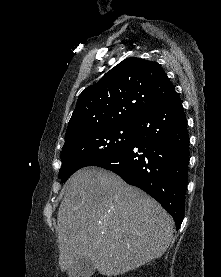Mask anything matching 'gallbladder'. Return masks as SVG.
<instances>
[{
    "mask_svg": "<svg viewBox=\"0 0 221 277\" xmlns=\"http://www.w3.org/2000/svg\"><path fill=\"white\" fill-rule=\"evenodd\" d=\"M95 263L88 258L78 259L67 270L68 277H91L95 272Z\"/></svg>",
    "mask_w": 221,
    "mask_h": 277,
    "instance_id": "gallbladder-1",
    "label": "gallbladder"
}]
</instances>
